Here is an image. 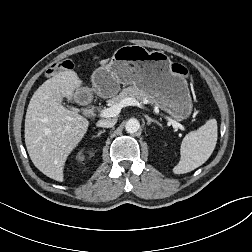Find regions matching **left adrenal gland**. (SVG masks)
Wrapping results in <instances>:
<instances>
[{
	"label": "left adrenal gland",
	"mask_w": 252,
	"mask_h": 252,
	"mask_svg": "<svg viewBox=\"0 0 252 252\" xmlns=\"http://www.w3.org/2000/svg\"><path fill=\"white\" fill-rule=\"evenodd\" d=\"M145 118H146V120H147V125H150L151 123H155V124L161 126V124H160L157 120L152 119V118L149 117L148 115H145Z\"/></svg>",
	"instance_id": "a2214340"
}]
</instances>
